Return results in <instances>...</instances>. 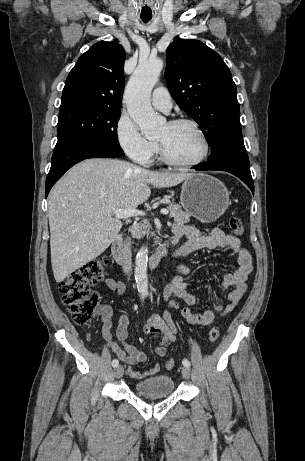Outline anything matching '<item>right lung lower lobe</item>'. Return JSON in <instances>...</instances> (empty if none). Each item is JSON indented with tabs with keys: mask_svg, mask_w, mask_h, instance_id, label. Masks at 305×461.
Wrapping results in <instances>:
<instances>
[{
	"mask_svg": "<svg viewBox=\"0 0 305 461\" xmlns=\"http://www.w3.org/2000/svg\"><path fill=\"white\" fill-rule=\"evenodd\" d=\"M123 154L96 142H77L55 147L46 179V197L52 186L74 164L88 158H116Z\"/></svg>",
	"mask_w": 305,
	"mask_h": 461,
	"instance_id": "1",
	"label": "right lung lower lobe"
}]
</instances>
